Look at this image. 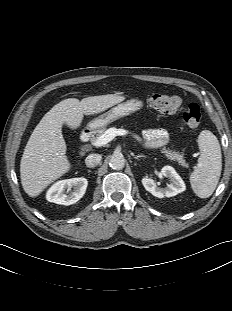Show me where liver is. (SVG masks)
<instances>
[{
	"label": "liver",
	"instance_id": "6515ba94",
	"mask_svg": "<svg viewBox=\"0 0 232 311\" xmlns=\"http://www.w3.org/2000/svg\"><path fill=\"white\" fill-rule=\"evenodd\" d=\"M125 100L124 96L107 94L62 100L52 107L32 132L20 162V178L30 197L38 196L50 183L67 173L71 164L66 156L62 135L65 123L77 129L84 115H94Z\"/></svg>",
	"mask_w": 232,
	"mask_h": 311
}]
</instances>
